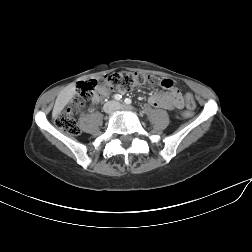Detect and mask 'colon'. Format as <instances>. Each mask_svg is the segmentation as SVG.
I'll return each mask as SVG.
<instances>
[{"label":"colon","mask_w":252,"mask_h":252,"mask_svg":"<svg viewBox=\"0 0 252 252\" xmlns=\"http://www.w3.org/2000/svg\"><path fill=\"white\" fill-rule=\"evenodd\" d=\"M156 83L157 79L152 75L129 71L109 73L98 81L91 80L82 82L78 86L76 95L71 104L55 117V124L63 132L71 136H76L80 133V129L75 120V116L82 112L88 102H94L101 91H118L124 93L135 86L154 85ZM163 85L165 88H170L172 83L165 81ZM195 106L194 99L190 96H186L187 110L183 113V116H192Z\"/></svg>","instance_id":"colon-1"}]
</instances>
